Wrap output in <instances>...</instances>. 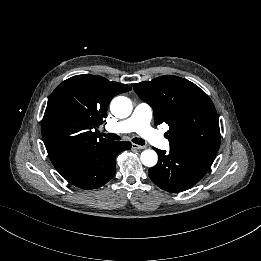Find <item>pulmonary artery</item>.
<instances>
[{
    "label": "pulmonary artery",
    "mask_w": 261,
    "mask_h": 261,
    "mask_svg": "<svg viewBox=\"0 0 261 261\" xmlns=\"http://www.w3.org/2000/svg\"><path fill=\"white\" fill-rule=\"evenodd\" d=\"M152 109L146 103H140L133 114L126 120L118 122L111 127L112 132H137L141 137L153 145L162 148H169V141L164 137H156L151 129Z\"/></svg>",
    "instance_id": "pulmonary-artery-1"
}]
</instances>
